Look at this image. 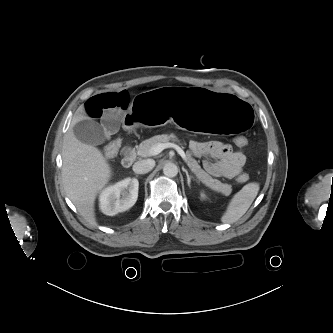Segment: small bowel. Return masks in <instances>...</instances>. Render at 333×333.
Segmentation results:
<instances>
[{"label":"small bowel","mask_w":333,"mask_h":333,"mask_svg":"<svg viewBox=\"0 0 333 333\" xmlns=\"http://www.w3.org/2000/svg\"><path fill=\"white\" fill-rule=\"evenodd\" d=\"M129 105L127 92H105L89 98L84 104V113L91 118H100L107 128H114L121 112ZM189 147L194 156L204 158L205 170L215 177L233 178L246 163L242 151H234L219 141H191Z\"/></svg>","instance_id":"1"}]
</instances>
